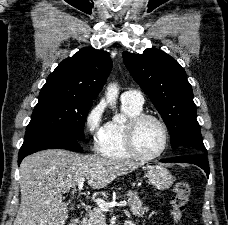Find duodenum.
<instances>
[{
    "label": "duodenum",
    "mask_w": 228,
    "mask_h": 225,
    "mask_svg": "<svg viewBox=\"0 0 228 225\" xmlns=\"http://www.w3.org/2000/svg\"><path fill=\"white\" fill-rule=\"evenodd\" d=\"M70 225H81L80 216H79V215H75V216L71 219ZM125 225H134V223L131 222V221H127V222L125 223Z\"/></svg>",
    "instance_id": "duodenum-1"
}]
</instances>
